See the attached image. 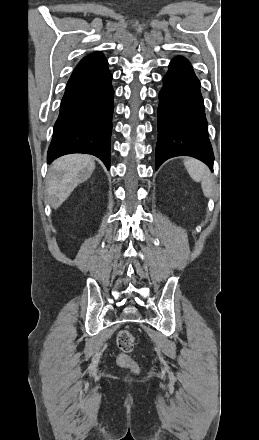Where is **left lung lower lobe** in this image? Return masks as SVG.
Here are the masks:
<instances>
[{
	"mask_svg": "<svg viewBox=\"0 0 259 440\" xmlns=\"http://www.w3.org/2000/svg\"><path fill=\"white\" fill-rule=\"evenodd\" d=\"M159 93L156 167L175 156H191L213 169L200 82L184 57L174 58Z\"/></svg>",
	"mask_w": 259,
	"mask_h": 440,
	"instance_id": "1",
	"label": "left lung lower lobe"
}]
</instances>
